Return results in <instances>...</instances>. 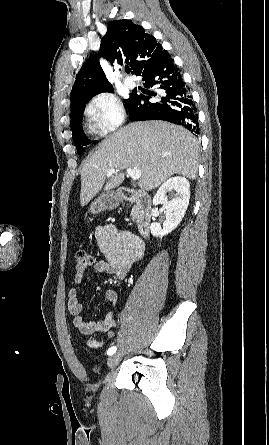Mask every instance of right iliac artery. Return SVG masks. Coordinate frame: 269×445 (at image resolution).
<instances>
[{
  "instance_id": "1",
  "label": "right iliac artery",
  "mask_w": 269,
  "mask_h": 445,
  "mask_svg": "<svg viewBox=\"0 0 269 445\" xmlns=\"http://www.w3.org/2000/svg\"><path fill=\"white\" fill-rule=\"evenodd\" d=\"M116 350H117V347L113 346V347L108 349L107 354L108 355H113L116 352Z\"/></svg>"
}]
</instances>
